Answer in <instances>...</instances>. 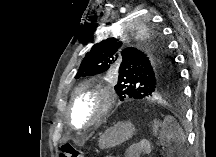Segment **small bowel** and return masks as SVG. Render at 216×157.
<instances>
[{
  "label": "small bowel",
  "instance_id": "obj_1",
  "mask_svg": "<svg viewBox=\"0 0 216 157\" xmlns=\"http://www.w3.org/2000/svg\"><path fill=\"white\" fill-rule=\"evenodd\" d=\"M143 148L139 149V146H136L135 149L129 148L125 151L124 156L125 157H138L141 154H143Z\"/></svg>",
  "mask_w": 216,
  "mask_h": 157
}]
</instances>
